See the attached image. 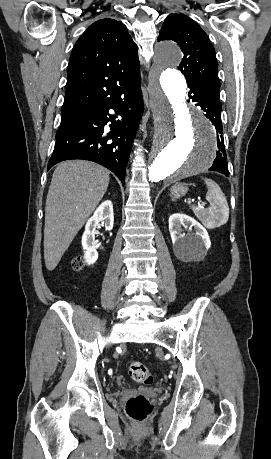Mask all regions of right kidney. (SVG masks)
<instances>
[{
  "label": "right kidney",
  "mask_w": 271,
  "mask_h": 459,
  "mask_svg": "<svg viewBox=\"0 0 271 459\" xmlns=\"http://www.w3.org/2000/svg\"><path fill=\"white\" fill-rule=\"evenodd\" d=\"M99 222L104 224L106 229H112L114 224L113 204L110 200H106L103 204H100L99 208L95 210L94 216L88 220L85 231L82 235V245L84 251V257L86 263H94L98 257V251H96L97 239H95L96 226H99Z\"/></svg>",
  "instance_id": "1"
}]
</instances>
